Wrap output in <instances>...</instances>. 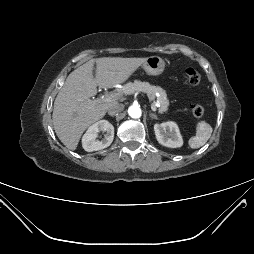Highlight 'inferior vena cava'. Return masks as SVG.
Wrapping results in <instances>:
<instances>
[{"label":"inferior vena cava","instance_id":"1","mask_svg":"<svg viewBox=\"0 0 254 254\" xmlns=\"http://www.w3.org/2000/svg\"><path fill=\"white\" fill-rule=\"evenodd\" d=\"M124 109L122 104L116 103L108 108V114L114 116Z\"/></svg>","mask_w":254,"mask_h":254}]
</instances>
